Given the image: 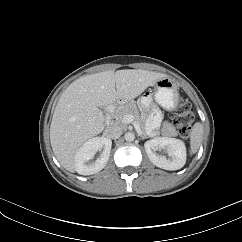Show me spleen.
I'll return each instance as SVG.
<instances>
[{"label":"spleen","mask_w":242,"mask_h":242,"mask_svg":"<svg viewBox=\"0 0 242 242\" xmlns=\"http://www.w3.org/2000/svg\"><path fill=\"white\" fill-rule=\"evenodd\" d=\"M202 135H203V126L201 123L197 122L194 124L190 133V146H191L192 153L197 152V150L199 149Z\"/></svg>","instance_id":"1"}]
</instances>
